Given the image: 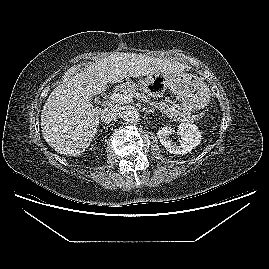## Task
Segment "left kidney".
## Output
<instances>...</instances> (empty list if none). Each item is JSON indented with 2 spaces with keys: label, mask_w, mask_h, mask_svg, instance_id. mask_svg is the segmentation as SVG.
<instances>
[{
  "label": "left kidney",
  "mask_w": 269,
  "mask_h": 269,
  "mask_svg": "<svg viewBox=\"0 0 269 269\" xmlns=\"http://www.w3.org/2000/svg\"><path fill=\"white\" fill-rule=\"evenodd\" d=\"M175 132L171 127H163L158 130L157 136L165 149L173 154H186L192 151L201 142V132L194 124L181 123L176 130L181 140L179 144L172 142L170 135Z\"/></svg>",
  "instance_id": "left-kidney-1"
}]
</instances>
